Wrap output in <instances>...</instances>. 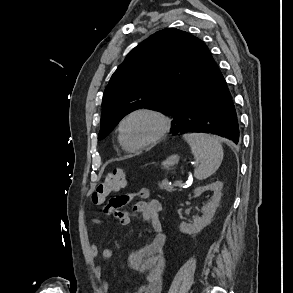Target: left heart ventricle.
I'll list each match as a JSON object with an SVG mask.
<instances>
[{"label":"left heart ventricle","mask_w":293,"mask_h":293,"mask_svg":"<svg viewBox=\"0 0 293 293\" xmlns=\"http://www.w3.org/2000/svg\"><path fill=\"white\" fill-rule=\"evenodd\" d=\"M158 126L155 118L149 115H136L124 125V137L130 145L140 144L152 138Z\"/></svg>","instance_id":"left-heart-ventricle-1"}]
</instances>
